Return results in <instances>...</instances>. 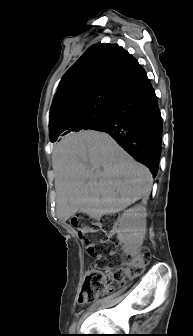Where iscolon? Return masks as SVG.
I'll list each match as a JSON object with an SVG mask.
<instances>
[{"instance_id":"1","label":"colon","mask_w":193,"mask_h":336,"mask_svg":"<svg viewBox=\"0 0 193 336\" xmlns=\"http://www.w3.org/2000/svg\"><path fill=\"white\" fill-rule=\"evenodd\" d=\"M116 221L113 217H94L76 215L72 219V226L77 230L80 239L87 247L90 256L101 259L105 256H115L118 242L115 235ZM151 258L147 248H141L135 255L128 256L120 267L114 271L91 267L84 276L79 295L81 304L90 303L98 296L111 290L116 282L124 284L126 279L138 277Z\"/></svg>"}]
</instances>
